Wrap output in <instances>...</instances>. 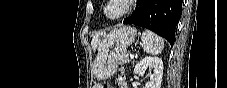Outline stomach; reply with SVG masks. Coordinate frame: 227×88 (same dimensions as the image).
<instances>
[{"label": "stomach", "mask_w": 227, "mask_h": 88, "mask_svg": "<svg viewBox=\"0 0 227 88\" xmlns=\"http://www.w3.org/2000/svg\"><path fill=\"white\" fill-rule=\"evenodd\" d=\"M136 36L135 28L119 26L101 40L93 62L94 74L98 79H106L114 73L117 62L125 55Z\"/></svg>", "instance_id": "1"}]
</instances>
